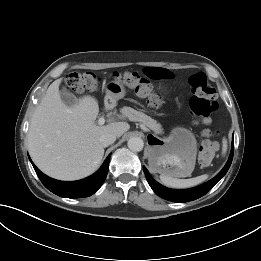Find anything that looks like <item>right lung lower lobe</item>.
<instances>
[{
  "label": "right lung lower lobe",
  "mask_w": 261,
  "mask_h": 261,
  "mask_svg": "<svg viewBox=\"0 0 261 261\" xmlns=\"http://www.w3.org/2000/svg\"><path fill=\"white\" fill-rule=\"evenodd\" d=\"M30 159V157H29ZM110 155L101 168L92 176L79 181L65 182L52 179L43 174L31 161L33 168L43 185L60 197L82 198L94 194L103 184L108 173Z\"/></svg>",
  "instance_id": "obj_1"
}]
</instances>
